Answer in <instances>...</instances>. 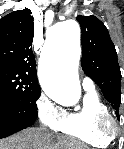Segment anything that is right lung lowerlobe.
I'll return each mask as SVG.
<instances>
[{
	"label": "right lung lower lobe",
	"instance_id": "right-lung-lower-lobe-1",
	"mask_svg": "<svg viewBox=\"0 0 124 149\" xmlns=\"http://www.w3.org/2000/svg\"><path fill=\"white\" fill-rule=\"evenodd\" d=\"M37 115L21 102L0 98V139L31 126Z\"/></svg>",
	"mask_w": 124,
	"mask_h": 149
}]
</instances>
